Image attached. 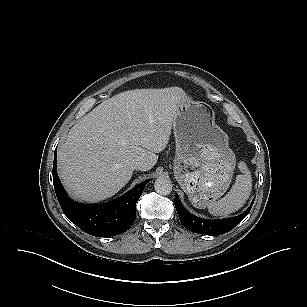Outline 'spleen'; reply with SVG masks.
<instances>
[{"mask_svg":"<svg viewBox=\"0 0 307 307\" xmlns=\"http://www.w3.org/2000/svg\"><path fill=\"white\" fill-rule=\"evenodd\" d=\"M243 174L236 176L231 190L222 199L208 204V211L214 216H227L240 209L249 198L252 189V178L245 162L238 165Z\"/></svg>","mask_w":307,"mask_h":307,"instance_id":"spleen-1","label":"spleen"}]
</instances>
